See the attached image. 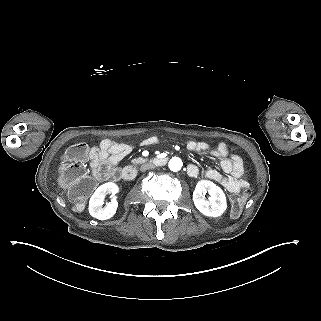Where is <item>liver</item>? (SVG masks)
I'll return each mask as SVG.
<instances>
[{"label": "liver", "instance_id": "obj_1", "mask_svg": "<svg viewBox=\"0 0 321 321\" xmlns=\"http://www.w3.org/2000/svg\"><path fill=\"white\" fill-rule=\"evenodd\" d=\"M58 182L62 190L68 189L71 185V179L66 175V173H63L58 177Z\"/></svg>", "mask_w": 321, "mask_h": 321}]
</instances>
